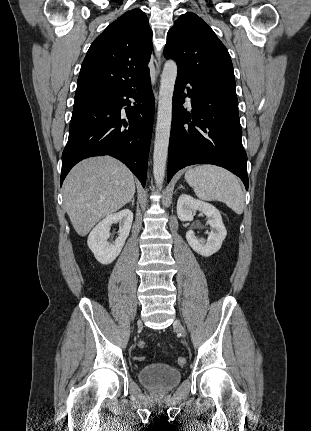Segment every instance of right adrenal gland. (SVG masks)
I'll return each mask as SVG.
<instances>
[{
    "label": "right adrenal gland",
    "instance_id": "obj_1",
    "mask_svg": "<svg viewBox=\"0 0 311 431\" xmlns=\"http://www.w3.org/2000/svg\"><path fill=\"white\" fill-rule=\"evenodd\" d=\"M130 202H131V206H134V196L133 198H131ZM130 202H128V204H130Z\"/></svg>",
    "mask_w": 311,
    "mask_h": 431
}]
</instances>
